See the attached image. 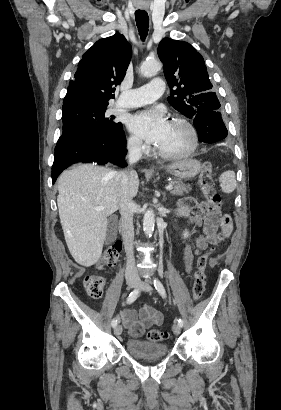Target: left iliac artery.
<instances>
[{
    "instance_id": "obj_1",
    "label": "left iliac artery",
    "mask_w": 281,
    "mask_h": 410,
    "mask_svg": "<svg viewBox=\"0 0 281 410\" xmlns=\"http://www.w3.org/2000/svg\"><path fill=\"white\" fill-rule=\"evenodd\" d=\"M153 284L155 289L158 291V293L163 297L166 298V291L164 286L162 285V283L158 280V279H154L153 280ZM178 324L182 327L183 326V320L182 319H178Z\"/></svg>"
}]
</instances>
